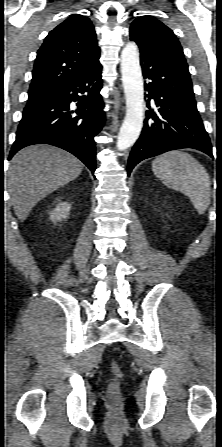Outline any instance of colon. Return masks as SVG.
Wrapping results in <instances>:
<instances>
[{
  "instance_id": "5ec220e1",
  "label": "colon",
  "mask_w": 222,
  "mask_h": 447,
  "mask_svg": "<svg viewBox=\"0 0 222 447\" xmlns=\"http://www.w3.org/2000/svg\"><path fill=\"white\" fill-rule=\"evenodd\" d=\"M111 372L115 378L111 381L107 388V398L111 402H118L121 399L120 379L122 377V372L116 363L111 365Z\"/></svg>"
}]
</instances>
